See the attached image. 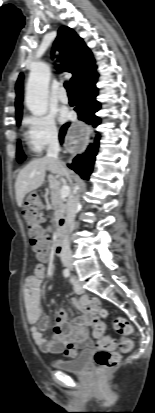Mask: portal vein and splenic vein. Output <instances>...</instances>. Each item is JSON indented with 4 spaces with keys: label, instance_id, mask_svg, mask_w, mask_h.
Listing matches in <instances>:
<instances>
[{
    "label": "portal vein and splenic vein",
    "instance_id": "portal-vein-and-splenic-vein-1",
    "mask_svg": "<svg viewBox=\"0 0 155 413\" xmlns=\"http://www.w3.org/2000/svg\"><path fill=\"white\" fill-rule=\"evenodd\" d=\"M70 195V187L68 185H63L60 189V197L62 199L68 197Z\"/></svg>",
    "mask_w": 155,
    "mask_h": 413
}]
</instances>
